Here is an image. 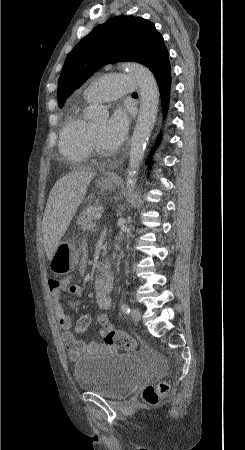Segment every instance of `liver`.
Here are the masks:
<instances>
[{
  "instance_id": "1",
  "label": "liver",
  "mask_w": 245,
  "mask_h": 450,
  "mask_svg": "<svg viewBox=\"0 0 245 450\" xmlns=\"http://www.w3.org/2000/svg\"><path fill=\"white\" fill-rule=\"evenodd\" d=\"M95 175L94 169L81 168L60 178L51 189L42 223L44 248L49 260L52 259Z\"/></svg>"
}]
</instances>
